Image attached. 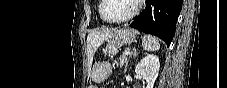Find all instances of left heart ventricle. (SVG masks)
Masks as SVG:
<instances>
[{"mask_svg": "<svg viewBox=\"0 0 227 88\" xmlns=\"http://www.w3.org/2000/svg\"><path fill=\"white\" fill-rule=\"evenodd\" d=\"M134 8V0H107L103 8V14L107 19L116 20L130 14Z\"/></svg>", "mask_w": 227, "mask_h": 88, "instance_id": "b2bd125f", "label": "left heart ventricle"}]
</instances>
